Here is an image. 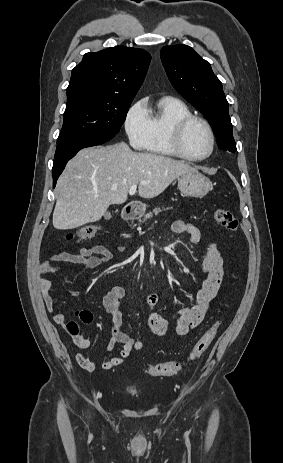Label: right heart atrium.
<instances>
[{
	"label": "right heart atrium",
	"mask_w": 283,
	"mask_h": 463,
	"mask_svg": "<svg viewBox=\"0 0 283 463\" xmlns=\"http://www.w3.org/2000/svg\"><path fill=\"white\" fill-rule=\"evenodd\" d=\"M124 130L130 145L142 149L148 136V114L143 100L135 102L124 118Z\"/></svg>",
	"instance_id": "obj_1"
}]
</instances>
